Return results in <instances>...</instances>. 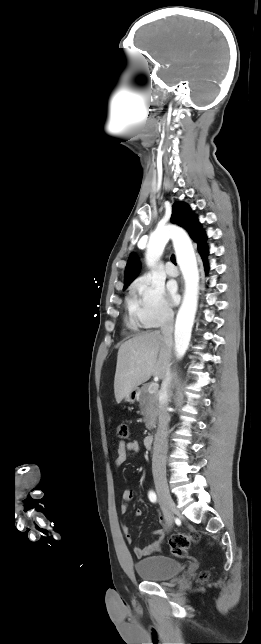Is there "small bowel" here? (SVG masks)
Segmentation results:
<instances>
[{"label":"small bowel","instance_id":"obj_1","mask_svg":"<svg viewBox=\"0 0 261 644\" xmlns=\"http://www.w3.org/2000/svg\"><path fill=\"white\" fill-rule=\"evenodd\" d=\"M140 451V445L137 441H130V442H125V441H119L118 443V448H117V457L115 459V466L120 467L127 459V456L129 453L131 454H137ZM134 496V490L133 489H125L122 492V504L120 506V512L122 514L126 513L127 507H128V502L133 498ZM143 515V510L141 508H137L135 510V516L140 517ZM159 522L161 524V528L157 529L154 531L156 535V539L148 544L145 547H134L133 552L136 557L142 558L148 555H151L155 552H158L161 549V546L164 541L165 537V529L170 526V516L167 513H164L159 516ZM122 531L125 534L127 540L129 542L132 541L133 537L130 531L129 526L123 525L122 526Z\"/></svg>","mask_w":261,"mask_h":644}]
</instances>
